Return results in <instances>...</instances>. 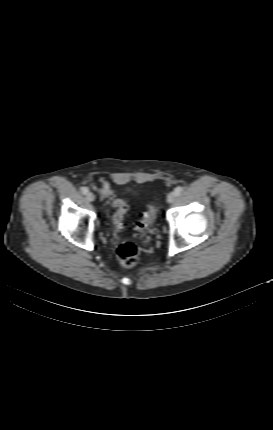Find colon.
<instances>
[{
  "instance_id": "5ec220e1",
  "label": "colon",
  "mask_w": 273,
  "mask_h": 430,
  "mask_svg": "<svg viewBox=\"0 0 273 430\" xmlns=\"http://www.w3.org/2000/svg\"><path fill=\"white\" fill-rule=\"evenodd\" d=\"M112 206L116 209L112 217L113 224L117 230H121L123 227V219L128 210V206L120 199L114 200L112 202ZM155 212L156 207L151 206L148 211L141 215L136 227L139 232H143L149 227L154 218ZM117 256L121 264L125 267H134L139 260L138 248L132 242L122 243L117 250Z\"/></svg>"
}]
</instances>
